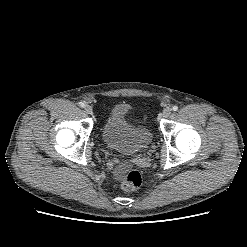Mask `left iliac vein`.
<instances>
[{
	"label": "left iliac vein",
	"instance_id": "1",
	"mask_svg": "<svg viewBox=\"0 0 247 247\" xmlns=\"http://www.w3.org/2000/svg\"><path fill=\"white\" fill-rule=\"evenodd\" d=\"M171 113H172L171 109H165L163 111V117L167 118V117H169L171 115Z\"/></svg>",
	"mask_w": 247,
	"mask_h": 247
}]
</instances>
